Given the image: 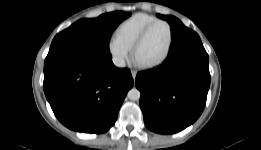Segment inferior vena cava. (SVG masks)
<instances>
[{
	"mask_svg": "<svg viewBox=\"0 0 261 150\" xmlns=\"http://www.w3.org/2000/svg\"><path fill=\"white\" fill-rule=\"evenodd\" d=\"M113 63L117 67H125V60L122 57H114Z\"/></svg>",
	"mask_w": 261,
	"mask_h": 150,
	"instance_id": "602c4592",
	"label": "inferior vena cava"
}]
</instances>
